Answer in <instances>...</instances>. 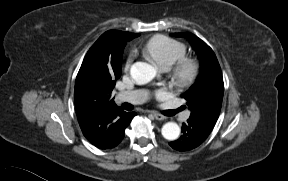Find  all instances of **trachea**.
Listing matches in <instances>:
<instances>
[{"label": "trachea", "mask_w": 288, "mask_h": 181, "mask_svg": "<svg viewBox=\"0 0 288 181\" xmlns=\"http://www.w3.org/2000/svg\"><path fill=\"white\" fill-rule=\"evenodd\" d=\"M123 108L126 109V110H130L129 104H127V103H124V104H123Z\"/></svg>", "instance_id": "3493384b"}]
</instances>
